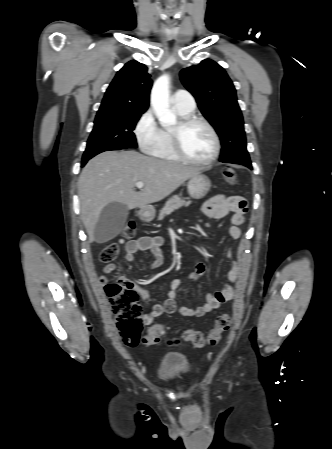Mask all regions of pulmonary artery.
Here are the masks:
<instances>
[{
	"instance_id": "e3ab8cb5",
	"label": "pulmonary artery",
	"mask_w": 332,
	"mask_h": 449,
	"mask_svg": "<svg viewBox=\"0 0 332 449\" xmlns=\"http://www.w3.org/2000/svg\"><path fill=\"white\" fill-rule=\"evenodd\" d=\"M171 100H172V104L176 108H178L186 113L193 112V110L195 109V106H196L193 96L188 91H186L184 89L177 90L172 95Z\"/></svg>"
}]
</instances>
